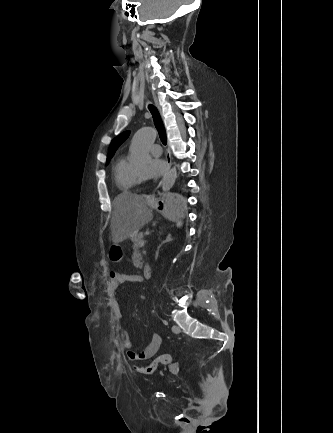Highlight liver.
Returning a JSON list of instances; mask_svg holds the SVG:
<instances>
[{"instance_id": "liver-1", "label": "liver", "mask_w": 333, "mask_h": 433, "mask_svg": "<svg viewBox=\"0 0 333 433\" xmlns=\"http://www.w3.org/2000/svg\"><path fill=\"white\" fill-rule=\"evenodd\" d=\"M153 219V213L146 206L143 196L123 192L113 201L111 218L112 242L118 244L135 235Z\"/></svg>"}]
</instances>
